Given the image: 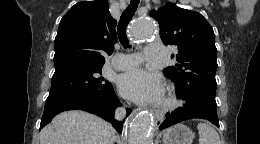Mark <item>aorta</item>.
<instances>
[{
  "instance_id": "obj_1",
  "label": "aorta",
  "mask_w": 260,
  "mask_h": 144,
  "mask_svg": "<svg viewBox=\"0 0 260 144\" xmlns=\"http://www.w3.org/2000/svg\"><path fill=\"white\" fill-rule=\"evenodd\" d=\"M155 35V23L152 19H139L131 25V38L141 43ZM153 119L147 112L134 116L128 125V144H153Z\"/></svg>"
}]
</instances>
